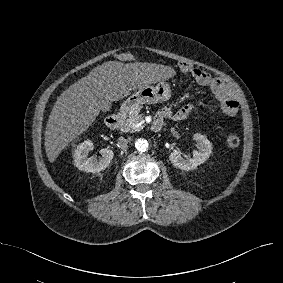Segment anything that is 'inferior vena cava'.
Instances as JSON below:
<instances>
[{"mask_svg":"<svg viewBox=\"0 0 283 283\" xmlns=\"http://www.w3.org/2000/svg\"><path fill=\"white\" fill-rule=\"evenodd\" d=\"M128 140L124 137H119L118 138V145H119V148L123 151H126L127 149V146H128Z\"/></svg>","mask_w":283,"mask_h":283,"instance_id":"inferior-vena-cava-1","label":"inferior vena cava"}]
</instances>
